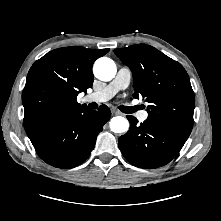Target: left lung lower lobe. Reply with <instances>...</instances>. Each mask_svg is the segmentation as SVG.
<instances>
[{"instance_id": "1", "label": "left lung lower lobe", "mask_w": 221, "mask_h": 221, "mask_svg": "<svg viewBox=\"0 0 221 221\" xmlns=\"http://www.w3.org/2000/svg\"><path fill=\"white\" fill-rule=\"evenodd\" d=\"M127 119L130 129L119 138L118 145L123 156L140 168L166 165L176 157L190 135L149 119L140 125L133 116L128 115Z\"/></svg>"}]
</instances>
